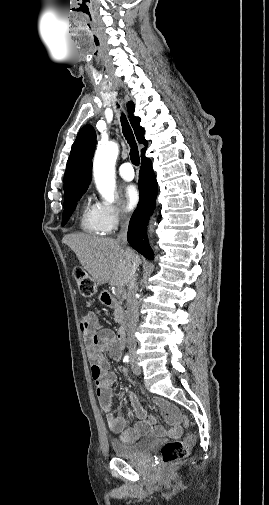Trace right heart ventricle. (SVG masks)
<instances>
[{"label":"right heart ventricle","instance_id":"right-heart-ventricle-1","mask_svg":"<svg viewBox=\"0 0 269 505\" xmlns=\"http://www.w3.org/2000/svg\"><path fill=\"white\" fill-rule=\"evenodd\" d=\"M80 228L93 235H100L105 233L99 218V207L97 203L91 202L86 199L81 207L79 217Z\"/></svg>","mask_w":269,"mask_h":505}]
</instances>
